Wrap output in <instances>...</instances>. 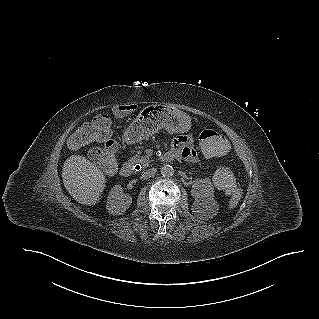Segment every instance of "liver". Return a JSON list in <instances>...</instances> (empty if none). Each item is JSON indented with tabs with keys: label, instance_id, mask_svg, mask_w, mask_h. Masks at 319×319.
<instances>
[{
	"label": "liver",
	"instance_id": "1",
	"mask_svg": "<svg viewBox=\"0 0 319 319\" xmlns=\"http://www.w3.org/2000/svg\"><path fill=\"white\" fill-rule=\"evenodd\" d=\"M62 179L68 193L83 205H95L107 179L99 167L86 157L72 155L64 162Z\"/></svg>",
	"mask_w": 319,
	"mask_h": 319
}]
</instances>
